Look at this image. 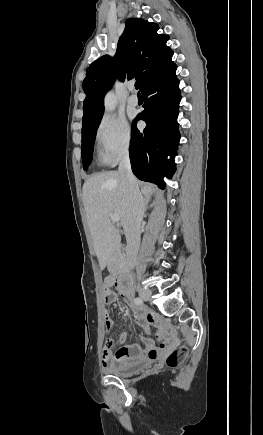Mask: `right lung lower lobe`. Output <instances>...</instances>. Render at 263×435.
Listing matches in <instances>:
<instances>
[{"instance_id":"right-lung-lower-lobe-1","label":"right lung lower lobe","mask_w":263,"mask_h":435,"mask_svg":"<svg viewBox=\"0 0 263 435\" xmlns=\"http://www.w3.org/2000/svg\"><path fill=\"white\" fill-rule=\"evenodd\" d=\"M176 65L172 64L142 90L145 99L142 113L132 126L130 161L132 171L140 180L165 187L163 178L174 171L173 157L179 144L177 116L181 100ZM143 120L146 128L139 131L136 122ZM170 156L171 159H167Z\"/></svg>"}]
</instances>
